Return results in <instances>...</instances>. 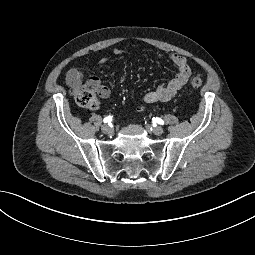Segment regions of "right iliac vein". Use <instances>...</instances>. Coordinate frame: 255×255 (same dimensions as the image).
<instances>
[{
    "label": "right iliac vein",
    "mask_w": 255,
    "mask_h": 255,
    "mask_svg": "<svg viewBox=\"0 0 255 255\" xmlns=\"http://www.w3.org/2000/svg\"><path fill=\"white\" fill-rule=\"evenodd\" d=\"M102 132L105 133V134L111 135L113 133V129L109 125H104L102 127Z\"/></svg>",
    "instance_id": "1"
}]
</instances>
